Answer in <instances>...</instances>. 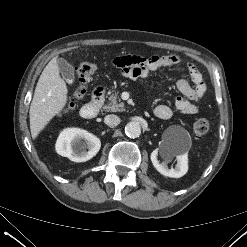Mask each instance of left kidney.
I'll list each match as a JSON object with an SVG mask.
<instances>
[{
    "mask_svg": "<svg viewBox=\"0 0 247 247\" xmlns=\"http://www.w3.org/2000/svg\"><path fill=\"white\" fill-rule=\"evenodd\" d=\"M161 152L166 161L160 163L158 160V152ZM176 157L177 163L174 168L169 169L167 161ZM153 166L162 175L171 178H180L186 174L188 170V154L169 147L166 143H160V148L155 149L150 156Z\"/></svg>",
    "mask_w": 247,
    "mask_h": 247,
    "instance_id": "left-kidney-1",
    "label": "left kidney"
}]
</instances>
